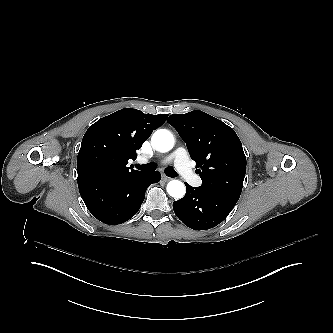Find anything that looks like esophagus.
Instances as JSON below:
<instances>
[{
    "label": "esophagus",
    "instance_id": "esophagus-1",
    "mask_svg": "<svg viewBox=\"0 0 333 333\" xmlns=\"http://www.w3.org/2000/svg\"><path fill=\"white\" fill-rule=\"evenodd\" d=\"M162 179H163L164 182H168V181L171 180V178L167 177L166 175H162Z\"/></svg>",
    "mask_w": 333,
    "mask_h": 333
}]
</instances>
